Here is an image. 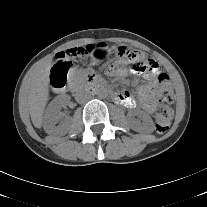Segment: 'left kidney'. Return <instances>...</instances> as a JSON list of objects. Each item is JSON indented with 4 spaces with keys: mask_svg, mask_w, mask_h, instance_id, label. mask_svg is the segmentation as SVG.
<instances>
[{
    "mask_svg": "<svg viewBox=\"0 0 207 207\" xmlns=\"http://www.w3.org/2000/svg\"><path fill=\"white\" fill-rule=\"evenodd\" d=\"M137 115L142 123L134 118ZM131 128L139 133L149 134L154 131L155 125L149 114L141 110H135L128 113Z\"/></svg>",
    "mask_w": 207,
    "mask_h": 207,
    "instance_id": "5707ae66",
    "label": "left kidney"
}]
</instances>
